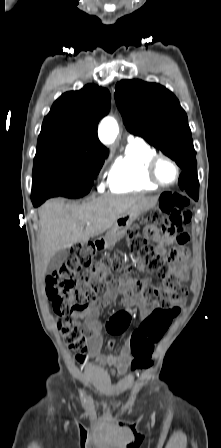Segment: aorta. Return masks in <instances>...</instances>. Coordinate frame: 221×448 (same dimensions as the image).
Returning <instances> with one entry per match:
<instances>
[{"label":"aorta","instance_id":"aorta-1","mask_svg":"<svg viewBox=\"0 0 221 448\" xmlns=\"http://www.w3.org/2000/svg\"><path fill=\"white\" fill-rule=\"evenodd\" d=\"M119 133L117 121L112 117H105L98 128V136L102 143L112 144Z\"/></svg>","mask_w":221,"mask_h":448}]
</instances>
